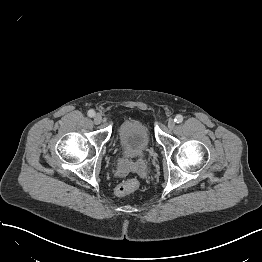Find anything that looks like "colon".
<instances>
[{
	"label": "colon",
	"mask_w": 262,
	"mask_h": 262,
	"mask_svg": "<svg viewBox=\"0 0 262 262\" xmlns=\"http://www.w3.org/2000/svg\"><path fill=\"white\" fill-rule=\"evenodd\" d=\"M139 187V181L136 178H130L125 182L119 184L115 189V194L118 197H124L129 193L135 191Z\"/></svg>",
	"instance_id": "1"
}]
</instances>
